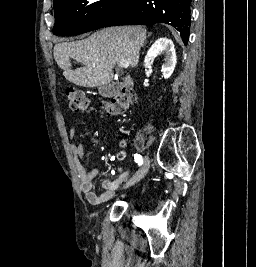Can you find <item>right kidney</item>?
<instances>
[{"label":"right kidney","instance_id":"ca27d5eb","mask_svg":"<svg viewBox=\"0 0 256 267\" xmlns=\"http://www.w3.org/2000/svg\"><path fill=\"white\" fill-rule=\"evenodd\" d=\"M157 52H165V60L164 64H162V72L164 78H170L176 66V54L172 40H168V38H159V40H156L153 46L149 48L147 56H145V64H147V62H151V60L157 56Z\"/></svg>","mask_w":256,"mask_h":267}]
</instances>
